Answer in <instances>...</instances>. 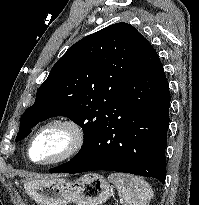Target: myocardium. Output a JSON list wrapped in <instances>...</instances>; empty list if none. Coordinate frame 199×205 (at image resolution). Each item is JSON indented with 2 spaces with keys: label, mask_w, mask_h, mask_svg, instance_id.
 I'll list each match as a JSON object with an SVG mask.
<instances>
[{
  "label": "myocardium",
  "mask_w": 199,
  "mask_h": 205,
  "mask_svg": "<svg viewBox=\"0 0 199 205\" xmlns=\"http://www.w3.org/2000/svg\"><path fill=\"white\" fill-rule=\"evenodd\" d=\"M52 128H60L68 135V142L64 150L56 157L46 161H35L32 158V149L36 139L45 131ZM86 141V134L83 126L76 120L68 117H57L47 121L40 126L31 136L28 142V157L38 165L49 166L67 161L75 157L83 148Z\"/></svg>",
  "instance_id": "myocardium-1"
}]
</instances>
